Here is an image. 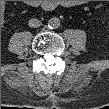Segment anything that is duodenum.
Segmentation results:
<instances>
[{
    "mask_svg": "<svg viewBox=\"0 0 109 109\" xmlns=\"http://www.w3.org/2000/svg\"><path fill=\"white\" fill-rule=\"evenodd\" d=\"M28 5L31 7H42V8H50L54 6L53 4L48 3L47 1H29Z\"/></svg>",
    "mask_w": 109,
    "mask_h": 109,
    "instance_id": "obj_1",
    "label": "duodenum"
}]
</instances>
